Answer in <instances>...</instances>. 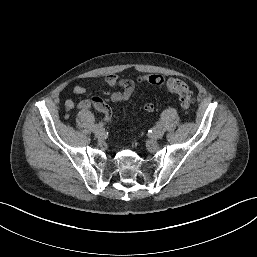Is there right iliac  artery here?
<instances>
[{
	"mask_svg": "<svg viewBox=\"0 0 257 257\" xmlns=\"http://www.w3.org/2000/svg\"><path fill=\"white\" fill-rule=\"evenodd\" d=\"M104 126V123L100 122L98 124H95L92 128V131L95 133L96 131H98L99 129H102Z\"/></svg>",
	"mask_w": 257,
	"mask_h": 257,
	"instance_id": "82829eb1",
	"label": "right iliac artery"
}]
</instances>
